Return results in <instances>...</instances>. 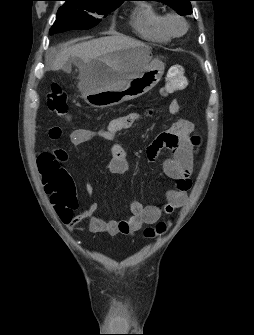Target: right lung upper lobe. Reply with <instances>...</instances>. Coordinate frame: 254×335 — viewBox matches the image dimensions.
Listing matches in <instances>:
<instances>
[{
	"label": "right lung upper lobe",
	"instance_id": "cb5924a9",
	"mask_svg": "<svg viewBox=\"0 0 254 335\" xmlns=\"http://www.w3.org/2000/svg\"><path fill=\"white\" fill-rule=\"evenodd\" d=\"M88 1H96V2H104V3H122L125 0H88Z\"/></svg>",
	"mask_w": 254,
	"mask_h": 335
}]
</instances>
